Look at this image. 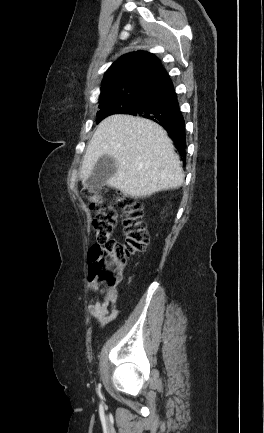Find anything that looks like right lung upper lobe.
<instances>
[{
  "instance_id": "cb5924a9",
  "label": "right lung upper lobe",
  "mask_w": 264,
  "mask_h": 433,
  "mask_svg": "<svg viewBox=\"0 0 264 433\" xmlns=\"http://www.w3.org/2000/svg\"><path fill=\"white\" fill-rule=\"evenodd\" d=\"M160 68V60L149 52L125 54L106 71L100 98L117 94L128 88L142 87Z\"/></svg>"
}]
</instances>
